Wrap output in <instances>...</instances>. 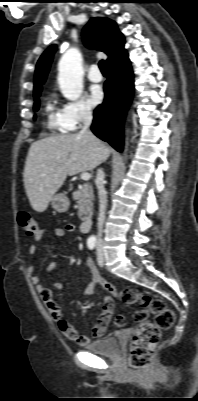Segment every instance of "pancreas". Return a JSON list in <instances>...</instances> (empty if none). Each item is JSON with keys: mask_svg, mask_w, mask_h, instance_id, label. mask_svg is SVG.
Wrapping results in <instances>:
<instances>
[{"mask_svg": "<svg viewBox=\"0 0 198 401\" xmlns=\"http://www.w3.org/2000/svg\"><path fill=\"white\" fill-rule=\"evenodd\" d=\"M73 199L78 205V216L83 221L87 216L92 215L94 194L92 186L83 184L78 187L72 194Z\"/></svg>", "mask_w": 198, "mask_h": 401, "instance_id": "pancreas-1", "label": "pancreas"}]
</instances>
